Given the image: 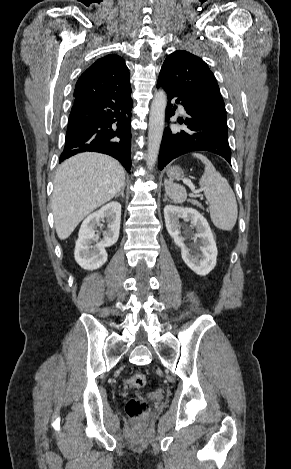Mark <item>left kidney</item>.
<instances>
[{
  "mask_svg": "<svg viewBox=\"0 0 291 469\" xmlns=\"http://www.w3.org/2000/svg\"><path fill=\"white\" fill-rule=\"evenodd\" d=\"M164 218L167 231L181 249L182 259L187 266L200 276L210 273L216 265L218 251L207 220L193 208L174 205L165 206ZM180 219L191 221V226L196 228L195 237L199 240L194 248L200 250L201 254L196 255L192 248L186 247L184 238L180 236Z\"/></svg>",
  "mask_w": 291,
  "mask_h": 469,
  "instance_id": "left-kidney-1",
  "label": "left kidney"
}]
</instances>
